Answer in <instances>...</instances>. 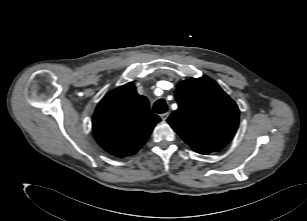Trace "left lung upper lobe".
Returning a JSON list of instances; mask_svg holds the SVG:
<instances>
[{
    "mask_svg": "<svg viewBox=\"0 0 307 221\" xmlns=\"http://www.w3.org/2000/svg\"><path fill=\"white\" fill-rule=\"evenodd\" d=\"M175 96L179 107L167 122L195 152L219 151L232 140L239 109L214 80L201 77L182 81Z\"/></svg>",
    "mask_w": 307,
    "mask_h": 221,
    "instance_id": "1",
    "label": "left lung upper lobe"
}]
</instances>
